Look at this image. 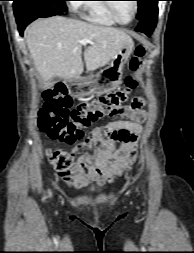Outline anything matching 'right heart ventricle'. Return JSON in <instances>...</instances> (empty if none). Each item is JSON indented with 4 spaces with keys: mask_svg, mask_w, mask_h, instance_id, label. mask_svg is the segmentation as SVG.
Segmentation results:
<instances>
[{
    "mask_svg": "<svg viewBox=\"0 0 194 253\" xmlns=\"http://www.w3.org/2000/svg\"><path fill=\"white\" fill-rule=\"evenodd\" d=\"M83 17L95 24L114 26L116 22L106 8L102 0H87L80 3L79 7Z\"/></svg>",
    "mask_w": 194,
    "mask_h": 253,
    "instance_id": "right-heart-ventricle-1",
    "label": "right heart ventricle"
}]
</instances>
